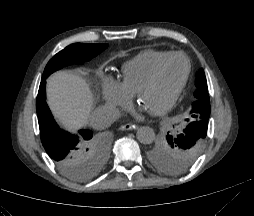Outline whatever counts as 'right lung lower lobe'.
<instances>
[{
  "mask_svg": "<svg viewBox=\"0 0 254 216\" xmlns=\"http://www.w3.org/2000/svg\"><path fill=\"white\" fill-rule=\"evenodd\" d=\"M46 81L42 79L38 91L36 110L42 144L59 168L79 162L84 174L93 172L90 151L94 143L90 130H80L79 136L60 129L46 104Z\"/></svg>",
  "mask_w": 254,
  "mask_h": 216,
  "instance_id": "98d812e1",
  "label": "right lung lower lobe"
}]
</instances>
